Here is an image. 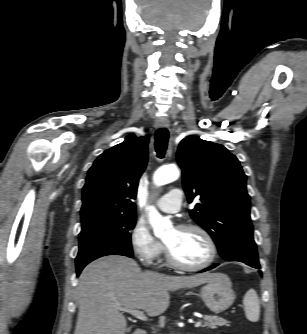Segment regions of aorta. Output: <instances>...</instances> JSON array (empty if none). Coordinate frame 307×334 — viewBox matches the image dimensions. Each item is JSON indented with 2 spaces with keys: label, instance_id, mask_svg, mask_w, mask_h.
<instances>
[{
  "label": "aorta",
  "instance_id": "762f6f07",
  "mask_svg": "<svg viewBox=\"0 0 307 334\" xmlns=\"http://www.w3.org/2000/svg\"><path fill=\"white\" fill-rule=\"evenodd\" d=\"M180 172L175 166H162L153 176V182L156 186L166 185L177 180ZM148 216L150 225L153 228L156 237H162L172 228V222L168 217H163L155 207L150 206L148 209Z\"/></svg>",
  "mask_w": 307,
  "mask_h": 334
}]
</instances>
